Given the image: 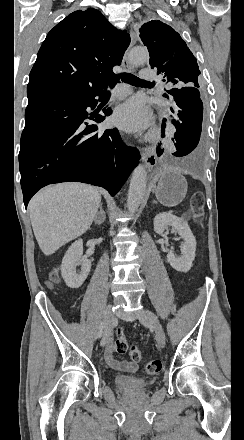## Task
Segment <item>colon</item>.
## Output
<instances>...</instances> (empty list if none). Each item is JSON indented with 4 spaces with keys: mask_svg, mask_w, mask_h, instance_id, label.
<instances>
[{
    "mask_svg": "<svg viewBox=\"0 0 244 440\" xmlns=\"http://www.w3.org/2000/svg\"><path fill=\"white\" fill-rule=\"evenodd\" d=\"M192 216L196 222H200L203 216V200L200 194H195L191 201ZM50 282H57L56 276L52 275L49 278ZM115 352L118 354L129 353L133 362H139L142 359L143 353L139 346L129 345L122 329H118V336L114 344ZM162 364L158 359H150L144 363V370L147 375L154 376L161 372Z\"/></svg>",
    "mask_w": 244,
    "mask_h": 440,
    "instance_id": "colon-1",
    "label": "colon"
}]
</instances>
